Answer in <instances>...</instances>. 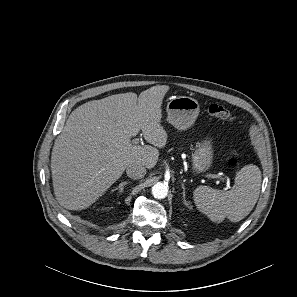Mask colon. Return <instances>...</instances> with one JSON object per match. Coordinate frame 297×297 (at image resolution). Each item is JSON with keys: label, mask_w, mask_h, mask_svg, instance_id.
<instances>
[{"label": "colon", "mask_w": 297, "mask_h": 297, "mask_svg": "<svg viewBox=\"0 0 297 297\" xmlns=\"http://www.w3.org/2000/svg\"><path fill=\"white\" fill-rule=\"evenodd\" d=\"M205 110L212 116L217 117L222 120L226 121H233L234 116L233 114L228 111L225 107L222 105L216 104V103H209L206 105ZM239 165L238 160L235 157H230L227 160V166L230 169H236Z\"/></svg>", "instance_id": "obj_1"}]
</instances>
